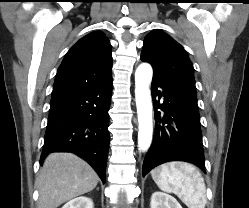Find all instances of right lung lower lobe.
Here are the masks:
<instances>
[{
	"label": "right lung lower lobe",
	"instance_id": "98d812e1",
	"mask_svg": "<svg viewBox=\"0 0 249 208\" xmlns=\"http://www.w3.org/2000/svg\"><path fill=\"white\" fill-rule=\"evenodd\" d=\"M112 87L111 77L92 88L51 98L41 164L51 152H71L86 160L105 182Z\"/></svg>",
	"mask_w": 249,
	"mask_h": 208
}]
</instances>
